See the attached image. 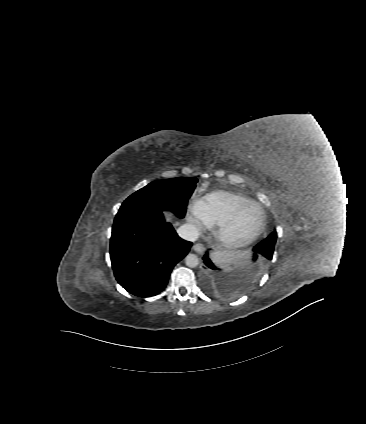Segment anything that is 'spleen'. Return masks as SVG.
I'll return each instance as SVG.
<instances>
[{"instance_id":"1","label":"spleen","mask_w":366,"mask_h":424,"mask_svg":"<svg viewBox=\"0 0 366 424\" xmlns=\"http://www.w3.org/2000/svg\"><path fill=\"white\" fill-rule=\"evenodd\" d=\"M243 255V252H222L214 256V261L222 267H227L230 262L239 259Z\"/></svg>"}]
</instances>
